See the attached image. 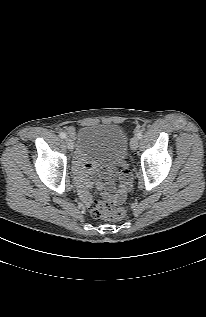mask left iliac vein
Masks as SVG:
<instances>
[{"mask_svg": "<svg viewBox=\"0 0 206 317\" xmlns=\"http://www.w3.org/2000/svg\"><path fill=\"white\" fill-rule=\"evenodd\" d=\"M138 144H139V139L137 137H134L130 143L131 149L136 150L138 148Z\"/></svg>", "mask_w": 206, "mask_h": 317, "instance_id": "left-iliac-vein-1", "label": "left iliac vein"}]
</instances>
